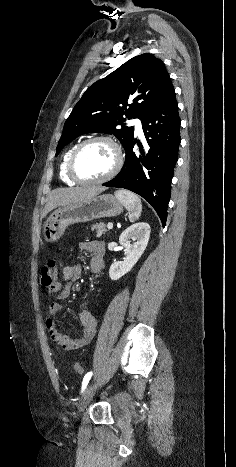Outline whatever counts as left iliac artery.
Listing matches in <instances>:
<instances>
[{"mask_svg": "<svg viewBox=\"0 0 236 467\" xmlns=\"http://www.w3.org/2000/svg\"><path fill=\"white\" fill-rule=\"evenodd\" d=\"M92 372H88L84 378H83V382H82V388H81V393H83V391L86 389L87 385H88V382L89 380L91 379L92 377Z\"/></svg>", "mask_w": 236, "mask_h": 467, "instance_id": "1", "label": "left iliac artery"}]
</instances>
